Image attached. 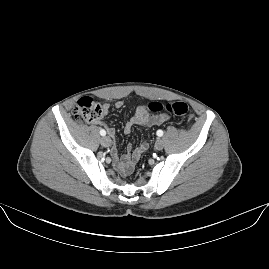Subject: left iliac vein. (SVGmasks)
I'll return each mask as SVG.
<instances>
[{"mask_svg": "<svg viewBox=\"0 0 269 269\" xmlns=\"http://www.w3.org/2000/svg\"><path fill=\"white\" fill-rule=\"evenodd\" d=\"M163 147H164V141L161 138H159L155 143V149L162 150Z\"/></svg>", "mask_w": 269, "mask_h": 269, "instance_id": "left-iliac-vein-1", "label": "left iliac vein"}]
</instances>
